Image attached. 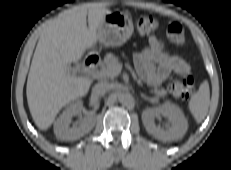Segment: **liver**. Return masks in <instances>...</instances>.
<instances>
[{
	"label": "liver",
	"mask_w": 231,
	"mask_h": 170,
	"mask_svg": "<svg viewBox=\"0 0 231 170\" xmlns=\"http://www.w3.org/2000/svg\"><path fill=\"white\" fill-rule=\"evenodd\" d=\"M108 13L96 4L76 6L43 30L26 86L29 110L39 129L47 130L66 104L88 93L92 80L72 75L69 67L99 41L98 28Z\"/></svg>",
	"instance_id": "liver-1"
}]
</instances>
